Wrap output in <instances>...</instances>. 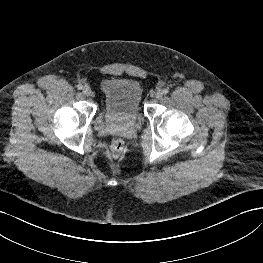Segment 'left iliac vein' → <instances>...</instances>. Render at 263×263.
Wrapping results in <instances>:
<instances>
[{"instance_id": "4c4485c4", "label": "left iliac vein", "mask_w": 263, "mask_h": 263, "mask_svg": "<svg viewBox=\"0 0 263 263\" xmlns=\"http://www.w3.org/2000/svg\"><path fill=\"white\" fill-rule=\"evenodd\" d=\"M162 96H163V91L162 90H158V91L155 92V97L157 99L162 98Z\"/></svg>"}]
</instances>
